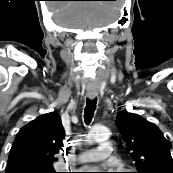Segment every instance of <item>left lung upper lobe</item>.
<instances>
[{
  "instance_id": "5c2ea615",
  "label": "left lung upper lobe",
  "mask_w": 173,
  "mask_h": 173,
  "mask_svg": "<svg viewBox=\"0 0 173 173\" xmlns=\"http://www.w3.org/2000/svg\"><path fill=\"white\" fill-rule=\"evenodd\" d=\"M116 126L135 161L137 173H173L169 142L160 129L138 114H117Z\"/></svg>"
}]
</instances>
